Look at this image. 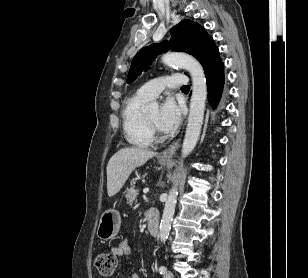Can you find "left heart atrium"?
<instances>
[{
  "instance_id": "1",
  "label": "left heart atrium",
  "mask_w": 308,
  "mask_h": 278,
  "mask_svg": "<svg viewBox=\"0 0 308 278\" xmlns=\"http://www.w3.org/2000/svg\"><path fill=\"white\" fill-rule=\"evenodd\" d=\"M182 119V110L172 98H168L159 111L157 126L166 133L176 130Z\"/></svg>"
}]
</instances>
